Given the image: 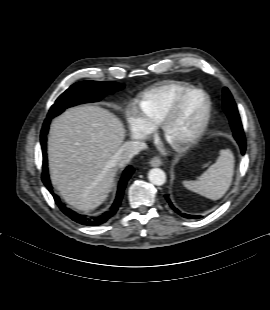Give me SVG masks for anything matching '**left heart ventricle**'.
Returning <instances> with one entry per match:
<instances>
[{"label": "left heart ventricle", "mask_w": 270, "mask_h": 310, "mask_svg": "<svg viewBox=\"0 0 270 310\" xmlns=\"http://www.w3.org/2000/svg\"><path fill=\"white\" fill-rule=\"evenodd\" d=\"M202 109V98L198 95L191 96L184 104L182 110L171 127L172 135L181 136L192 131L200 119Z\"/></svg>", "instance_id": "b2bd125f"}]
</instances>
